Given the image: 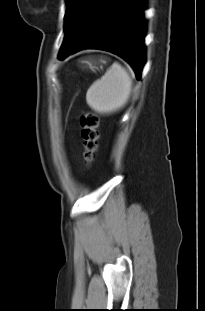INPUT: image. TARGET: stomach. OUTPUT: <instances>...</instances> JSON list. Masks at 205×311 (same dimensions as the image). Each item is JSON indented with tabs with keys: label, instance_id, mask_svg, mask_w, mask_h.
<instances>
[{
	"label": "stomach",
	"instance_id": "0dacf381",
	"mask_svg": "<svg viewBox=\"0 0 205 311\" xmlns=\"http://www.w3.org/2000/svg\"><path fill=\"white\" fill-rule=\"evenodd\" d=\"M100 62L101 63H105V61L104 60H102V59H100ZM82 63H87L88 64V66H89V68L91 69V70H95V69H97V67L95 66V65H93L92 63H90V62H88V61H82Z\"/></svg>",
	"mask_w": 205,
	"mask_h": 311
}]
</instances>
